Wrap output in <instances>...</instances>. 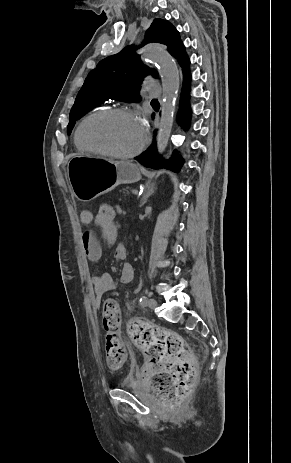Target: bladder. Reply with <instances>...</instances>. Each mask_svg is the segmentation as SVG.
Instances as JSON below:
<instances>
[{
  "instance_id": "bladder-1",
  "label": "bladder",
  "mask_w": 291,
  "mask_h": 463,
  "mask_svg": "<svg viewBox=\"0 0 291 463\" xmlns=\"http://www.w3.org/2000/svg\"><path fill=\"white\" fill-rule=\"evenodd\" d=\"M139 385L140 383L134 374L127 375L119 382V386L122 388H133Z\"/></svg>"
}]
</instances>
